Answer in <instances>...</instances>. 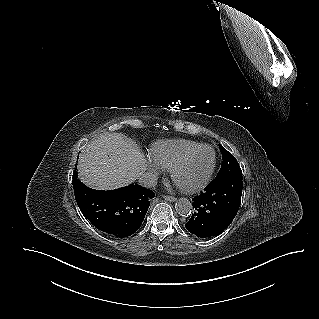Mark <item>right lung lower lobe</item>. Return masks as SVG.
<instances>
[{
  "label": "right lung lower lobe",
  "instance_id": "98d812e1",
  "mask_svg": "<svg viewBox=\"0 0 319 319\" xmlns=\"http://www.w3.org/2000/svg\"><path fill=\"white\" fill-rule=\"evenodd\" d=\"M72 184L83 215L97 229L116 237L130 236L139 229L155 196L140 185L110 191L88 188L78 179L76 169Z\"/></svg>",
  "mask_w": 319,
  "mask_h": 319
}]
</instances>
